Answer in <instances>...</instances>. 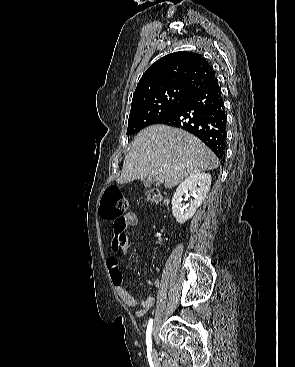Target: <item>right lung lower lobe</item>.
I'll return each instance as SVG.
<instances>
[{
	"mask_svg": "<svg viewBox=\"0 0 295 367\" xmlns=\"http://www.w3.org/2000/svg\"><path fill=\"white\" fill-rule=\"evenodd\" d=\"M158 124L182 128L201 139L221 160L226 149V114L218 81L193 92Z\"/></svg>",
	"mask_w": 295,
	"mask_h": 367,
	"instance_id": "obj_1",
	"label": "right lung lower lobe"
}]
</instances>
